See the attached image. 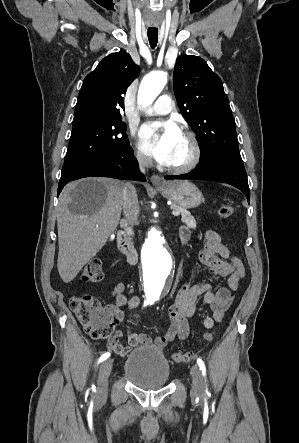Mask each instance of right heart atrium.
Returning <instances> with one entry per match:
<instances>
[{"instance_id": "obj_1", "label": "right heart atrium", "mask_w": 299, "mask_h": 443, "mask_svg": "<svg viewBox=\"0 0 299 443\" xmlns=\"http://www.w3.org/2000/svg\"><path fill=\"white\" fill-rule=\"evenodd\" d=\"M135 158L137 162L142 166H147L150 164V158L147 156V154L141 150L140 148H137L135 151Z\"/></svg>"}]
</instances>
